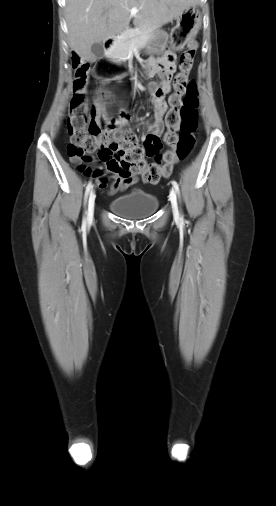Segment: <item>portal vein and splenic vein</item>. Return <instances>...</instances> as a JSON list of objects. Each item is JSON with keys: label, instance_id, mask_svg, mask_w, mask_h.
<instances>
[{"label": "portal vein and splenic vein", "instance_id": "obj_1", "mask_svg": "<svg viewBox=\"0 0 276 506\" xmlns=\"http://www.w3.org/2000/svg\"><path fill=\"white\" fill-rule=\"evenodd\" d=\"M137 12H138V9H137L136 7H133V8L131 9V15H132V16L136 15V13H137Z\"/></svg>", "mask_w": 276, "mask_h": 506}]
</instances>
